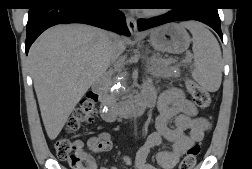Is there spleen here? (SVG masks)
<instances>
[{"mask_svg":"<svg viewBox=\"0 0 252 169\" xmlns=\"http://www.w3.org/2000/svg\"><path fill=\"white\" fill-rule=\"evenodd\" d=\"M192 34L193 79L209 92H216L222 81V55L214 35L198 22L182 24Z\"/></svg>","mask_w":252,"mask_h":169,"instance_id":"obj_1","label":"spleen"}]
</instances>
